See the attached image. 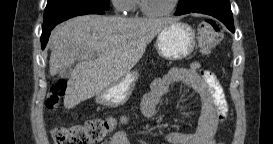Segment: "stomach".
<instances>
[{
  "label": "stomach",
  "instance_id": "stomach-1",
  "mask_svg": "<svg viewBox=\"0 0 273 144\" xmlns=\"http://www.w3.org/2000/svg\"><path fill=\"white\" fill-rule=\"evenodd\" d=\"M155 46L158 54L165 59H184L194 50L195 31L186 23H171L158 33ZM138 78V71H130L119 82L99 93L96 102L106 107L124 104L132 95Z\"/></svg>",
  "mask_w": 273,
  "mask_h": 144
}]
</instances>
